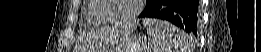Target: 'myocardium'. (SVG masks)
Listing matches in <instances>:
<instances>
[{"instance_id":"myocardium-1","label":"myocardium","mask_w":261,"mask_h":52,"mask_svg":"<svg viewBox=\"0 0 261 52\" xmlns=\"http://www.w3.org/2000/svg\"><path fill=\"white\" fill-rule=\"evenodd\" d=\"M102 3V7L99 11V16L107 23V24H125L133 22L136 17L141 13L143 9L144 0H136V6L134 10L122 19H107L105 17V13L110 9V2L108 0H100Z\"/></svg>"}]
</instances>
